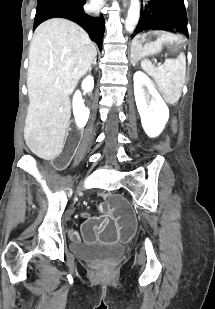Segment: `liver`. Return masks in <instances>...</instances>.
<instances>
[{
	"instance_id": "liver-1",
	"label": "liver",
	"mask_w": 215,
	"mask_h": 309,
	"mask_svg": "<svg viewBox=\"0 0 215 309\" xmlns=\"http://www.w3.org/2000/svg\"><path fill=\"white\" fill-rule=\"evenodd\" d=\"M97 54L86 30L67 20L49 18L37 26L29 48L25 142L34 155L59 157L71 116L70 94Z\"/></svg>"
}]
</instances>
